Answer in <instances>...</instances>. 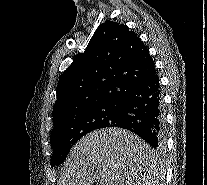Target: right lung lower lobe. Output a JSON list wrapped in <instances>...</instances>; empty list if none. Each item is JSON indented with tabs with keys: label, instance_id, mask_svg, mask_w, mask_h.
Returning <instances> with one entry per match:
<instances>
[{
	"label": "right lung lower lobe",
	"instance_id": "1",
	"mask_svg": "<svg viewBox=\"0 0 207 185\" xmlns=\"http://www.w3.org/2000/svg\"><path fill=\"white\" fill-rule=\"evenodd\" d=\"M118 104L116 121L106 127L134 132L154 149L164 146L165 117L157 75L132 86Z\"/></svg>",
	"mask_w": 207,
	"mask_h": 185
}]
</instances>
